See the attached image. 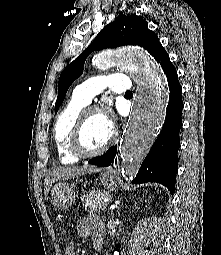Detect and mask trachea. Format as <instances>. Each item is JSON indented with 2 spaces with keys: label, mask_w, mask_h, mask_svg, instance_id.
Wrapping results in <instances>:
<instances>
[{
  "label": "trachea",
  "mask_w": 221,
  "mask_h": 255,
  "mask_svg": "<svg viewBox=\"0 0 221 255\" xmlns=\"http://www.w3.org/2000/svg\"><path fill=\"white\" fill-rule=\"evenodd\" d=\"M126 95H132V92L131 91H128L125 93Z\"/></svg>",
  "instance_id": "1"
}]
</instances>
